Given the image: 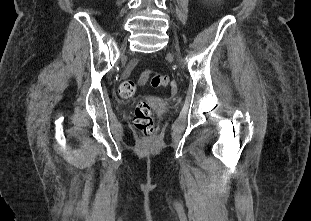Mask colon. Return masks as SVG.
<instances>
[{"label":"colon","mask_w":311,"mask_h":221,"mask_svg":"<svg viewBox=\"0 0 311 221\" xmlns=\"http://www.w3.org/2000/svg\"><path fill=\"white\" fill-rule=\"evenodd\" d=\"M142 81L149 80L151 85L154 87L165 88L170 83L169 76L160 73H152L151 71H146L142 77ZM136 84L132 79H127L122 82L120 85V95L122 98H131L133 97L136 91ZM134 124L138 131L143 135H146L147 141L153 140V131H154V119L152 117L151 108L148 102L144 99H140L137 102L135 113H134Z\"/></svg>","instance_id":"1"}]
</instances>
